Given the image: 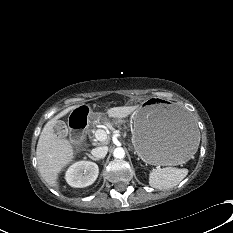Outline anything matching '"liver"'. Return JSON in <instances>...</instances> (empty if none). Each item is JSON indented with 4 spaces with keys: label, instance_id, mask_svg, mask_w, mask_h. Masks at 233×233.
<instances>
[{
    "label": "liver",
    "instance_id": "obj_1",
    "mask_svg": "<svg viewBox=\"0 0 233 233\" xmlns=\"http://www.w3.org/2000/svg\"><path fill=\"white\" fill-rule=\"evenodd\" d=\"M77 106L64 109L50 119L44 126L36 149L38 169L43 180L51 187L58 188V175L74 159V151L71 142L54 133V126L58 119L74 110ZM138 108L135 106L113 107L107 110L111 118H125Z\"/></svg>",
    "mask_w": 233,
    "mask_h": 233
}]
</instances>
